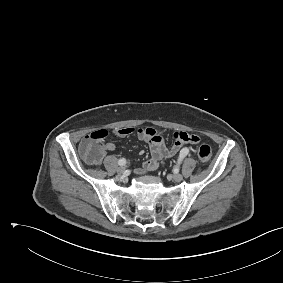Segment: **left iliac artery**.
Segmentation results:
<instances>
[{
  "mask_svg": "<svg viewBox=\"0 0 283 283\" xmlns=\"http://www.w3.org/2000/svg\"><path fill=\"white\" fill-rule=\"evenodd\" d=\"M189 153V150L187 148H184L182 149L181 153H180V156H179V163L180 161H182V159L187 156V154Z\"/></svg>",
  "mask_w": 283,
  "mask_h": 283,
  "instance_id": "44dca946",
  "label": "left iliac artery"
}]
</instances>
